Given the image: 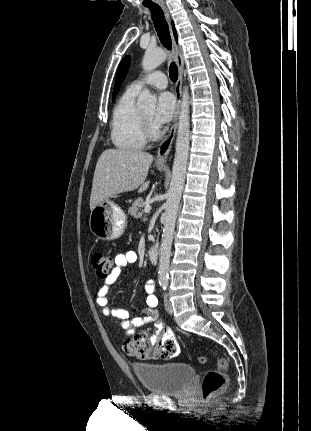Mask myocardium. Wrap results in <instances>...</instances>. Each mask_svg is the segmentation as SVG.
I'll list each match as a JSON object with an SVG mask.
<instances>
[{
	"label": "myocardium",
	"mask_w": 311,
	"mask_h": 431,
	"mask_svg": "<svg viewBox=\"0 0 311 431\" xmlns=\"http://www.w3.org/2000/svg\"><path fill=\"white\" fill-rule=\"evenodd\" d=\"M143 137L145 141H156L159 138V132L151 120L147 119L144 114L141 115Z\"/></svg>",
	"instance_id": "f54148a6"
}]
</instances>
